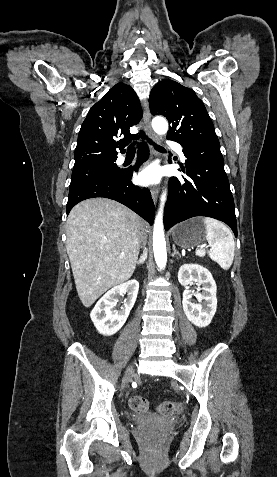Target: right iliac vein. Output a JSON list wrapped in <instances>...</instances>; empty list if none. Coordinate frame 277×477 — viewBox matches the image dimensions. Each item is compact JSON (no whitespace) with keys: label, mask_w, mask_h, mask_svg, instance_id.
Returning <instances> with one entry per match:
<instances>
[{"label":"right iliac vein","mask_w":277,"mask_h":477,"mask_svg":"<svg viewBox=\"0 0 277 477\" xmlns=\"http://www.w3.org/2000/svg\"><path fill=\"white\" fill-rule=\"evenodd\" d=\"M133 372H134V367L133 365L129 366L127 371H126V374H125V377H124V385L128 382V380L130 379V377L133 375Z\"/></svg>","instance_id":"1"}]
</instances>
